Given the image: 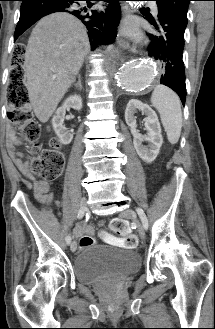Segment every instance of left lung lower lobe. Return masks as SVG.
<instances>
[{"label": "left lung lower lobe", "mask_w": 215, "mask_h": 329, "mask_svg": "<svg viewBox=\"0 0 215 329\" xmlns=\"http://www.w3.org/2000/svg\"><path fill=\"white\" fill-rule=\"evenodd\" d=\"M146 17L156 29V34H149L150 55L160 61L165 68L160 83L173 89L184 105L186 84L183 49L186 25L159 9L156 20L151 15Z\"/></svg>", "instance_id": "obj_1"}]
</instances>
